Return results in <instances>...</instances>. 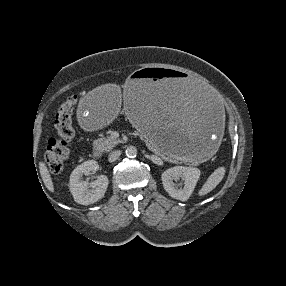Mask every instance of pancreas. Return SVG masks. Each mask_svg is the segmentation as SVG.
I'll use <instances>...</instances> for the list:
<instances>
[{
	"instance_id": "obj_1",
	"label": "pancreas",
	"mask_w": 286,
	"mask_h": 286,
	"mask_svg": "<svg viewBox=\"0 0 286 286\" xmlns=\"http://www.w3.org/2000/svg\"><path fill=\"white\" fill-rule=\"evenodd\" d=\"M120 142L121 141L119 139H113L111 136H108L106 138H99L97 140H94L93 146L95 150H98L101 152L110 151L111 149H113V147H115ZM148 148L154 153L158 155H162V157L167 161H174V159L177 158L176 156H173L170 154H167L168 157H166L165 154H161L160 150L157 147L152 146L150 144H148Z\"/></svg>"
}]
</instances>
